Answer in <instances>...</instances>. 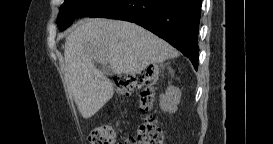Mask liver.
Wrapping results in <instances>:
<instances>
[{"label":"liver","mask_w":273,"mask_h":144,"mask_svg":"<svg viewBox=\"0 0 273 144\" xmlns=\"http://www.w3.org/2000/svg\"><path fill=\"white\" fill-rule=\"evenodd\" d=\"M177 56L166 41L127 21H79L66 37L64 58L68 88L82 117L96 114L113 96L114 88L94 61L110 64L117 75L138 74L148 65Z\"/></svg>","instance_id":"liver-1"}]
</instances>
